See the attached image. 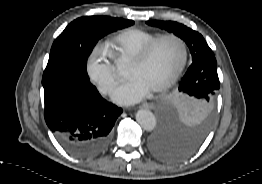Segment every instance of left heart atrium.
<instances>
[{"label": "left heart atrium", "instance_id": "obj_1", "mask_svg": "<svg viewBox=\"0 0 262 184\" xmlns=\"http://www.w3.org/2000/svg\"><path fill=\"white\" fill-rule=\"evenodd\" d=\"M151 91L138 77L123 81L112 93V99L119 104H134L145 98Z\"/></svg>", "mask_w": 262, "mask_h": 184}]
</instances>
